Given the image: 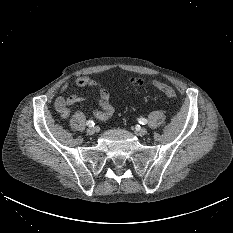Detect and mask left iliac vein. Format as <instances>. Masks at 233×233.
<instances>
[{
    "instance_id": "left-iliac-vein-1",
    "label": "left iliac vein",
    "mask_w": 233,
    "mask_h": 233,
    "mask_svg": "<svg viewBox=\"0 0 233 233\" xmlns=\"http://www.w3.org/2000/svg\"><path fill=\"white\" fill-rule=\"evenodd\" d=\"M137 133L140 134V135H145L147 134V129L142 127V128H138L137 130Z\"/></svg>"
}]
</instances>
